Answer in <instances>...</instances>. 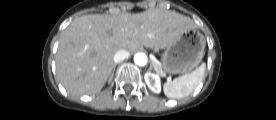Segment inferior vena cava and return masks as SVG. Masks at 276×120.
<instances>
[{"label":"inferior vena cava","mask_w":276,"mask_h":120,"mask_svg":"<svg viewBox=\"0 0 276 120\" xmlns=\"http://www.w3.org/2000/svg\"><path fill=\"white\" fill-rule=\"evenodd\" d=\"M129 56H130V53L127 50L122 49L115 53L113 60L115 63H119L127 59Z\"/></svg>","instance_id":"1"}]
</instances>
